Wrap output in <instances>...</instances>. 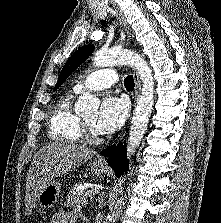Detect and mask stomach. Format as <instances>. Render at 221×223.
Masks as SVG:
<instances>
[{
	"instance_id": "0dacf381",
	"label": "stomach",
	"mask_w": 221,
	"mask_h": 223,
	"mask_svg": "<svg viewBox=\"0 0 221 223\" xmlns=\"http://www.w3.org/2000/svg\"><path fill=\"white\" fill-rule=\"evenodd\" d=\"M91 170L95 174L99 175L104 172L105 166L93 162L91 164ZM60 190L61 184L54 181L49 182L38 195V202L40 206L45 209L53 207L59 198Z\"/></svg>"
}]
</instances>
